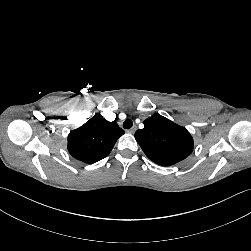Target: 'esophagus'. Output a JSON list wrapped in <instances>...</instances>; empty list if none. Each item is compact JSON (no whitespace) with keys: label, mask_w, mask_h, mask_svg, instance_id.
Instances as JSON below:
<instances>
[{"label":"esophagus","mask_w":251,"mask_h":251,"mask_svg":"<svg viewBox=\"0 0 251 251\" xmlns=\"http://www.w3.org/2000/svg\"><path fill=\"white\" fill-rule=\"evenodd\" d=\"M136 129H137L136 126H133L131 129L127 130V132L130 134H134Z\"/></svg>","instance_id":"34e87169"}]
</instances>
